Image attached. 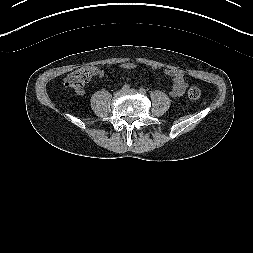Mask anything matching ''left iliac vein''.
Returning <instances> with one entry per match:
<instances>
[{
    "label": "left iliac vein",
    "mask_w": 253,
    "mask_h": 253,
    "mask_svg": "<svg viewBox=\"0 0 253 253\" xmlns=\"http://www.w3.org/2000/svg\"><path fill=\"white\" fill-rule=\"evenodd\" d=\"M125 92L131 93V94H136L137 93V91L135 89H127V90H125Z\"/></svg>",
    "instance_id": "obj_1"
}]
</instances>
